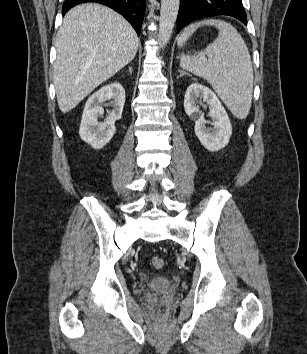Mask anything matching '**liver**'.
Wrapping results in <instances>:
<instances>
[{
	"label": "liver",
	"mask_w": 307,
	"mask_h": 354,
	"mask_svg": "<svg viewBox=\"0 0 307 354\" xmlns=\"http://www.w3.org/2000/svg\"><path fill=\"white\" fill-rule=\"evenodd\" d=\"M138 46L135 30L114 10L96 3L70 9L55 42L54 85L61 112L71 111L131 62Z\"/></svg>",
	"instance_id": "obj_1"
}]
</instances>
